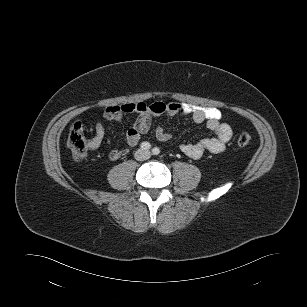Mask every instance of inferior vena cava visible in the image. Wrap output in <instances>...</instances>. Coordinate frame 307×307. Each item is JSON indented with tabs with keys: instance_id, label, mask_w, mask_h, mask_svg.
<instances>
[{
	"instance_id": "obj_1",
	"label": "inferior vena cava",
	"mask_w": 307,
	"mask_h": 307,
	"mask_svg": "<svg viewBox=\"0 0 307 307\" xmlns=\"http://www.w3.org/2000/svg\"><path fill=\"white\" fill-rule=\"evenodd\" d=\"M141 153L143 154V156L136 155L137 160H145L150 157V154L147 151H141Z\"/></svg>"
}]
</instances>
